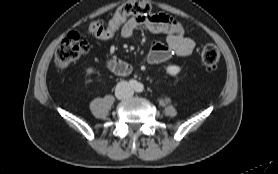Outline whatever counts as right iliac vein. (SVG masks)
I'll return each mask as SVG.
<instances>
[{
	"instance_id": "obj_1",
	"label": "right iliac vein",
	"mask_w": 278,
	"mask_h": 174,
	"mask_svg": "<svg viewBox=\"0 0 278 174\" xmlns=\"http://www.w3.org/2000/svg\"><path fill=\"white\" fill-rule=\"evenodd\" d=\"M116 97H117L118 99H122V98H124V93H123L122 91H117V92H116Z\"/></svg>"
}]
</instances>
